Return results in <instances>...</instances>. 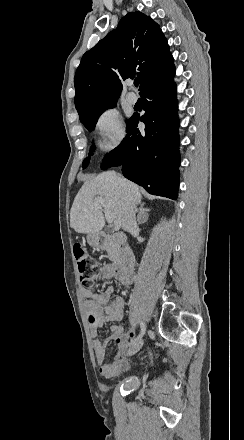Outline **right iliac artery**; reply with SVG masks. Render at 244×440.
I'll list each match as a JSON object with an SVG mask.
<instances>
[{"mask_svg":"<svg viewBox=\"0 0 244 440\" xmlns=\"http://www.w3.org/2000/svg\"><path fill=\"white\" fill-rule=\"evenodd\" d=\"M145 330H146L145 324H144V323H141V332H140V334H139L136 338H134L133 340H131V342L129 343V345H133V344L136 343L138 340H140V339L142 338V336L144 335Z\"/></svg>","mask_w":244,"mask_h":440,"instance_id":"right-iliac-artery-1","label":"right iliac artery"}]
</instances>
